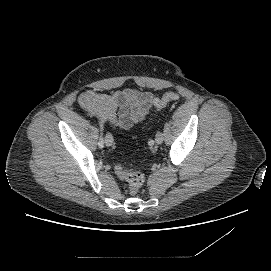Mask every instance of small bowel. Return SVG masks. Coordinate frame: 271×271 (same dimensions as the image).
<instances>
[{
  "label": "small bowel",
  "mask_w": 271,
  "mask_h": 271,
  "mask_svg": "<svg viewBox=\"0 0 271 271\" xmlns=\"http://www.w3.org/2000/svg\"><path fill=\"white\" fill-rule=\"evenodd\" d=\"M78 102L82 109L102 123L129 129L145 118L155 97L150 92L130 88L109 94L87 90L80 94Z\"/></svg>",
  "instance_id": "1"
}]
</instances>
